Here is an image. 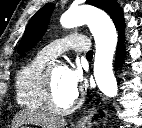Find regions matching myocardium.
I'll list each match as a JSON object with an SVG mask.
<instances>
[{
    "instance_id": "obj_1",
    "label": "myocardium",
    "mask_w": 142,
    "mask_h": 128,
    "mask_svg": "<svg viewBox=\"0 0 142 128\" xmlns=\"http://www.w3.org/2000/svg\"><path fill=\"white\" fill-rule=\"evenodd\" d=\"M51 70L52 69H47L46 74H45V82H44V102L49 111L55 114L59 115H66L74 110H76L80 104H81V99L77 95L75 100L71 103L70 106L62 108L59 107L54 99V93H53V86H52V77H51Z\"/></svg>"
}]
</instances>
